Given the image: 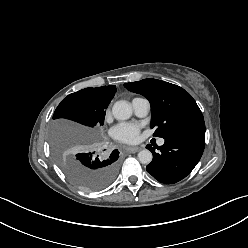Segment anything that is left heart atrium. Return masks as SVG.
Here are the masks:
<instances>
[{
    "mask_svg": "<svg viewBox=\"0 0 248 248\" xmlns=\"http://www.w3.org/2000/svg\"><path fill=\"white\" fill-rule=\"evenodd\" d=\"M140 131V125L132 122H122L112 129L113 137L124 143H133L137 140Z\"/></svg>",
    "mask_w": 248,
    "mask_h": 248,
    "instance_id": "39dd6f15",
    "label": "left heart atrium"
}]
</instances>
